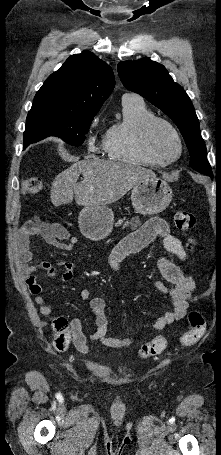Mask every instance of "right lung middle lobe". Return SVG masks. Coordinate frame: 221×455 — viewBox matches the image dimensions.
<instances>
[{
  "instance_id": "1",
  "label": "right lung middle lobe",
  "mask_w": 221,
  "mask_h": 455,
  "mask_svg": "<svg viewBox=\"0 0 221 455\" xmlns=\"http://www.w3.org/2000/svg\"><path fill=\"white\" fill-rule=\"evenodd\" d=\"M97 112L62 111L46 106L32 107L27 115L23 146L47 136H58L65 142L80 146Z\"/></svg>"
}]
</instances>
